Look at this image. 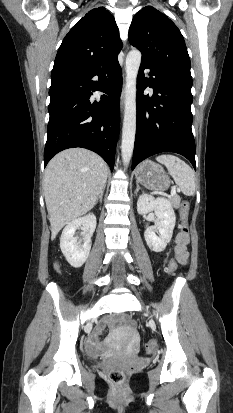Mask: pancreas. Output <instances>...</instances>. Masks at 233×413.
<instances>
[{"instance_id": "pancreas-1", "label": "pancreas", "mask_w": 233, "mask_h": 413, "mask_svg": "<svg viewBox=\"0 0 233 413\" xmlns=\"http://www.w3.org/2000/svg\"><path fill=\"white\" fill-rule=\"evenodd\" d=\"M180 201H181V198L178 195H175L170 199V203L175 208H178L180 206Z\"/></svg>"}]
</instances>
